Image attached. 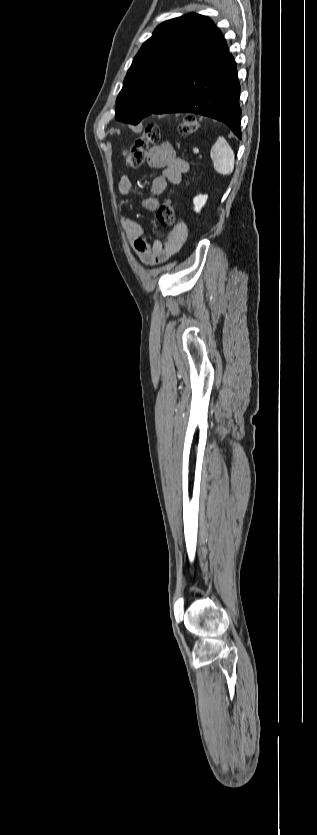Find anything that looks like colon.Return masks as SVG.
I'll return each mask as SVG.
<instances>
[{
    "label": "colon",
    "instance_id": "colon-1",
    "mask_svg": "<svg viewBox=\"0 0 317 835\" xmlns=\"http://www.w3.org/2000/svg\"><path fill=\"white\" fill-rule=\"evenodd\" d=\"M199 130V125L193 116L184 117L180 132L184 135H193ZM161 138V128L156 124L148 125L134 144L126 149L125 159L128 166L132 168L142 166L146 159L151 145L156 144ZM156 220L163 227H170L175 222V209L171 199H165L158 206Z\"/></svg>",
    "mask_w": 317,
    "mask_h": 835
}]
</instances>
